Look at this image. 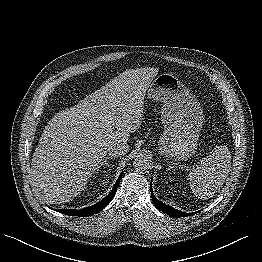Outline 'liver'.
Listing matches in <instances>:
<instances>
[{"label":"liver","mask_w":262,"mask_h":262,"mask_svg":"<svg viewBox=\"0 0 262 262\" xmlns=\"http://www.w3.org/2000/svg\"><path fill=\"white\" fill-rule=\"evenodd\" d=\"M158 72L126 70L48 122L29 174L44 200L61 204L76 197L100 167L108 147L128 141L141 125L145 93Z\"/></svg>","instance_id":"obj_1"}]
</instances>
